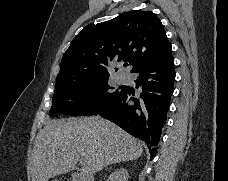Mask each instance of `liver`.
I'll return each mask as SVG.
<instances>
[{"instance_id": "1", "label": "liver", "mask_w": 228, "mask_h": 181, "mask_svg": "<svg viewBox=\"0 0 228 181\" xmlns=\"http://www.w3.org/2000/svg\"><path fill=\"white\" fill-rule=\"evenodd\" d=\"M143 153L142 141L101 117L49 121L39 131L32 153L31 181H50L74 171L92 179L108 165L135 161Z\"/></svg>"}]
</instances>
